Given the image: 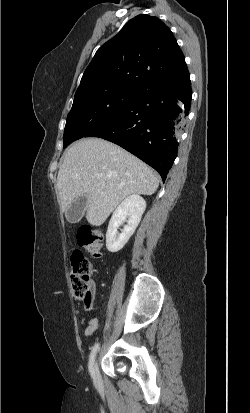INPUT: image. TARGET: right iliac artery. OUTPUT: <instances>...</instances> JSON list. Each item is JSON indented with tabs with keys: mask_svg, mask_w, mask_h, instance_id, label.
Here are the masks:
<instances>
[{
	"mask_svg": "<svg viewBox=\"0 0 250 413\" xmlns=\"http://www.w3.org/2000/svg\"><path fill=\"white\" fill-rule=\"evenodd\" d=\"M98 350H99V343H96L89 356V371L94 380L96 379L95 371H94V360H95V355L98 352Z\"/></svg>",
	"mask_w": 250,
	"mask_h": 413,
	"instance_id": "82829eb1",
	"label": "right iliac artery"
}]
</instances>
